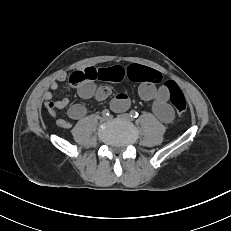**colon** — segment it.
Returning <instances> with one entry per match:
<instances>
[{
  "instance_id": "obj_1",
  "label": "colon",
  "mask_w": 231,
  "mask_h": 231,
  "mask_svg": "<svg viewBox=\"0 0 231 231\" xmlns=\"http://www.w3.org/2000/svg\"><path fill=\"white\" fill-rule=\"evenodd\" d=\"M138 80L158 84L162 81V75L156 70L140 66L138 68ZM83 81L84 76L80 72H74L69 78V83L73 86H79ZM163 85L169 91L170 101L177 114H184L187 109V101L179 86L173 81H166Z\"/></svg>"
}]
</instances>
